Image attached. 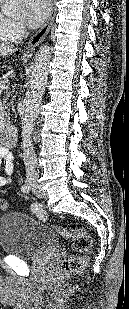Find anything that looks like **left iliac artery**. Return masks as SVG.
Masks as SVG:
<instances>
[{"instance_id": "1", "label": "left iliac artery", "mask_w": 129, "mask_h": 309, "mask_svg": "<svg viewBox=\"0 0 129 309\" xmlns=\"http://www.w3.org/2000/svg\"><path fill=\"white\" fill-rule=\"evenodd\" d=\"M31 209H32L33 211H37V210H38V206H37V205H32Z\"/></svg>"}]
</instances>
